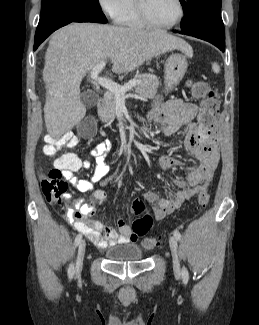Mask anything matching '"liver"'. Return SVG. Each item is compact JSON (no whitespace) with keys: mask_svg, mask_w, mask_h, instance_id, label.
Segmentation results:
<instances>
[{"mask_svg":"<svg viewBox=\"0 0 259 325\" xmlns=\"http://www.w3.org/2000/svg\"><path fill=\"white\" fill-rule=\"evenodd\" d=\"M172 50L192 55L183 39L164 31L96 23H72L56 31L49 41L43 69L44 119L49 135L58 139L84 118L80 84L99 62L110 59L114 73L131 72Z\"/></svg>","mask_w":259,"mask_h":325,"instance_id":"1","label":"liver"}]
</instances>
